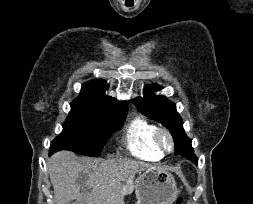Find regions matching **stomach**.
Wrapping results in <instances>:
<instances>
[{"label": "stomach", "instance_id": "0dacf381", "mask_svg": "<svg viewBox=\"0 0 253 204\" xmlns=\"http://www.w3.org/2000/svg\"><path fill=\"white\" fill-rule=\"evenodd\" d=\"M136 204H172L178 189L173 174L166 168L148 167L135 184Z\"/></svg>", "mask_w": 253, "mask_h": 204}]
</instances>
